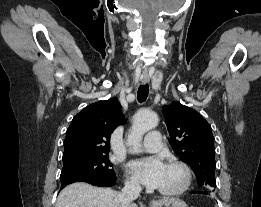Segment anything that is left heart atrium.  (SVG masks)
<instances>
[{
	"instance_id": "1",
	"label": "left heart atrium",
	"mask_w": 261,
	"mask_h": 207,
	"mask_svg": "<svg viewBox=\"0 0 261 207\" xmlns=\"http://www.w3.org/2000/svg\"><path fill=\"white\" fill-rule=\"evenodd\" d=\"M164 164L159 159L133 161L130 167L137 178L146 186L157 188L163 173Z\"/></svg>"
}]
</instances>
